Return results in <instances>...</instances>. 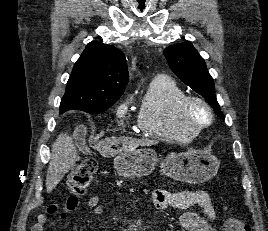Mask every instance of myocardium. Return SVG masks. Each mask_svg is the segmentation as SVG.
I'll use <instances>...</instances> for the list:
<instances>
[{
  "mask_svg": "<svg viewBox=\"0 0 268 231\" xmlns=\"http://www.w3.org/2000/svg\"><path fill=\"white\" fill-rule=\"evenodd\" d=\"M194 106H199L206 114L202 122L194 123L190 120V111ZM212 110L209 104L201 97L190 95L183 97L178 103L177 120L181 128L189 133L191 137L196 136L203 129L208 127L212 121Z\"/></svg>",
  "mask_w": 268,
  "mask_h": 231,
  "instance_id": "f54148a6",
  "label": "myocardium"
}]
</instances>
